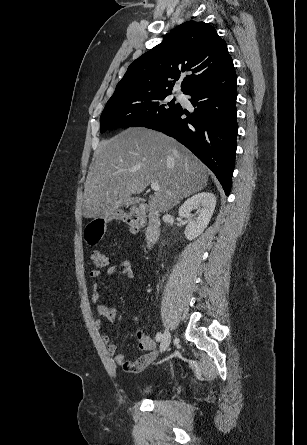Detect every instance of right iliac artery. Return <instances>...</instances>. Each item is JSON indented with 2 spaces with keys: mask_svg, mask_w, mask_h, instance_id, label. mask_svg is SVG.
Wrapping results in <instances>:
<instances>
[{
  "mask_svg": "<svg viewBox=\"0 0 307 445\" xmlns=\"http://www.w3.org/2000/svg\"><path fill=\"white\" fill-rule=\"evenodd\" d=\"M162 333L161 332H159V333H157V335H156V341H160L161 340V338H162Z\"/></svg>",
  "mask_w": 307,
  "mask_h": 445,
  "instance_id": "right-iliac-artery-1",
  "label": "right iliac artery"
}]
</instances>
